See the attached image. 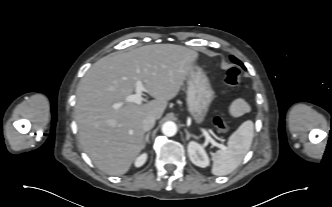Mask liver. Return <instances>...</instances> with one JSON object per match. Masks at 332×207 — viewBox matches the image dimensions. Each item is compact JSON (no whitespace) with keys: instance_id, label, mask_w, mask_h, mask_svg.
<instances>
[{"instance_id":"liver-1","label":"liver","mask_w":332,"mask_h":207,"mask_svg":"<svg viewBox=\"0 0 332 207\" xmlns=\"http://www.w3.org/2000/svg\"><path fill=\"white\" fill-rule=\"evenodd\" d=\"M197 59L198 53L184 46L155 44L109 54L91 66L77 87L75 120L80 144L100 170L122 175L130 169L145 147L143 119L162 117ZM137 81L154 100L126 101Z\"/></svg>"}]
</instances>
